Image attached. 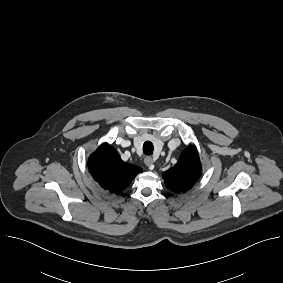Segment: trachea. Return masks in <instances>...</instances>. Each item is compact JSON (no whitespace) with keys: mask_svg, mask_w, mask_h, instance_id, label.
Returning a JSON list of instances; mask_svg holds the SVG:
<instances>
[{"mask_svg":"<svg viewBox=\"0 0 283 283\" xmlns=\"http://www.w3.org/2000/svg\"><path fill=\"white\" fill-rule=\"evenodd\" d=\"M153 150H154V146H153L152 142L146 141L143 144V152H144L145 155H151L153 153Z\"/></svg>","mask_w":283,"mask_h":283,"instance_id":"trachea-1","label":"trachea"}]
</instances>
